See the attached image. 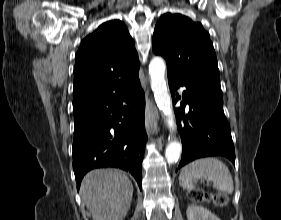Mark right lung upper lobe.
Here are the masks:
<instances>
[{"instance_id":"obj_1","label":"right lung upper lobe","mask_w":281,"mask_h":220,"mask_svg":"<svg viewBox=\"0 0 281 220\" xmlns=\"http://www.w3.org/2000/svg\"><path fill=\"white\" fill-rule=\"evenodd\" d=\"M140 67L125 24L111 20L81 42L74 69L73 113L131 88Z\"/></svg>"}]
</instances>
